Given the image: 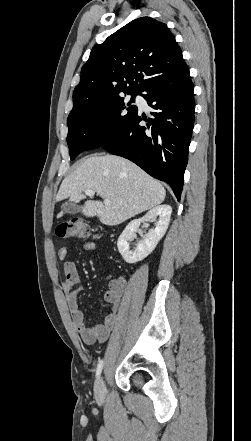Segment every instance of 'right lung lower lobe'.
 <instances>
[{
    "instance_id": "98d812e1",
    "label": "right lung lower lobe",
    "mask_w": 251,
    "mask_h": 441,
    "mask_svg": "<svg viewBox=\"0 0 251 441\" xmlns=\"http://www.w3.org/2000/svg\"><path fill=\"white\" fill-rule=\"evenodd\" d=\"M141 96L154 109L139 111L100 148L127 158L152 177L168 183L180 201L194 126V86L187 65L149 84ZM146 125H141V121Z\"/></svg>"
}]
</instances>
